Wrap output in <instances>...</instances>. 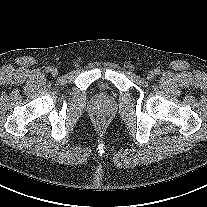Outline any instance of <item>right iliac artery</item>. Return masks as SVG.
<instances>
[{
    "mask_svg": "<svg viewBox=\"0 0 207 207\" xmlns=\"http://www.w3.org/2000/svg\"><path fill=\"white\" fill-rule=\"evenodd\" d=\"M52 69L50 67L46 68V72H50Z\"/></svg>",
    "mask_w": 207,
    "mask_h": 207,
    "instance_id": "right-iliac-artery-1",
    "label": "right iliac artery"
}]
</instances>
